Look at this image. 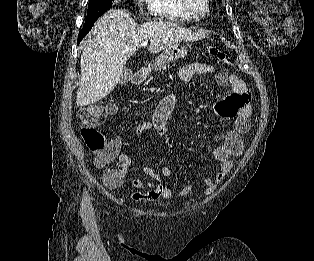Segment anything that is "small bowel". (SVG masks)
Returning <instances> with one entry per match:
<instances>
[{
  "mask_svg": "<svg viewBox=\"0 0 314 261\" xmlns=\"http://www.w3.org/2000/svg\"><path fill=\"white\" fill-rule=\"evenodd\" d=\"M216 71V68L210 64L196 62L183 66L179 76L182 82H189L195 75L214 74ZM228 80L232 93L217 101L214 109L219 117L234 120V127L225 133L222 142L213 149V156L220 162V166L214 176L206 177L203 181L204 194L207 196L213 194L217 186L232 169V158L241 155L243 151L242 135L246 134L250 129V116L252 113L251 94L245 82L237 75L229 74ZM174 104V93L165 96L159 102L152 119L139 124L136 133L145 135L152 132L159 136H166L165 123ZM114 142L117 149L110 162L113 159H117L118 165L116 169L110 171L118 172L125 178L133 160L128 154L119 152L121 146L120 139H114ZM144 173L150 178V181H144L140 178H134L131 181L132 186L139 190L131 194L133 199L154 201L159 198L169 199L172 197V191L160 182L162 176L168 177L172 175L173 170L171 167L162 166L160 172H156L152 166L147 165L144 167ZM192 190V185L187 184L181 188L179 195L187 196Z\"/></svg>",
  "mask_w": 314,
  "mask_h": 261,
  "instance_id": "obj_1",
  "label": "small bowel"
}]
</instances>
